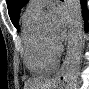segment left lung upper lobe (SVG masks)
Here are the masks:
<instances>
[{
	"mask_svg": "<svg viewBox=\"0 0 89 89\" xmlns=\"http://www.w3.org/2000/svg\"><path fill=\"white\" fill-rule=\"evenodd\" d=\"M8 6L9 16L11 18L12 23L14 26L19 30V14L20 10L25 3L29 0H6Z\"/></svg>",
	"mask_w": 89,
	"mask_h": 89,
	"instance_id": "1",
	"label": "left lung upper lobe"
}]
</instances>
